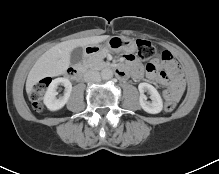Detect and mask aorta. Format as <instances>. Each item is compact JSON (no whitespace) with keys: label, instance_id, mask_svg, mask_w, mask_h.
I'll list each match as a JSON object with an SVG mask.
<instances>
[{"label":"aorta","instance_id":"obj_1","mask_svg":"<svg viewBox=\"0 0 219 174\" xmlns=\"http://www.w3.org/2000/svg\"><path fill=\"white\" fill-rule=\"evenodd\" d=\"M101 77L104 80H109L113 77V71L110 68H105L101 71Z\"/></svg>","mask_w":219,"mask_h":174}]
</instances>
